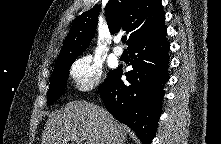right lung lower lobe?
I'll list each match as a JSON object with an SVG mask.
<instances>
[{
	"instance_id": "98d812e1",
	"label": "right lung lower lobe",
	"mask_w": 221,
	"mask_h": 144,
	"mask_svg": "<svg viewBox=\"0 0 221 144\" xmlns=\"http://www.w3.org/2000/svg\"><path fill=\"white\" fill-rule=\"evenodd\" d=\"M164 23L137 38L128 47L133 69L121 81L122 68L111 71L99 88L107 110L131 127L142 144L154 138L161 115L163 85L169 80V43Z\"/></svg>"
}]
</instances>
